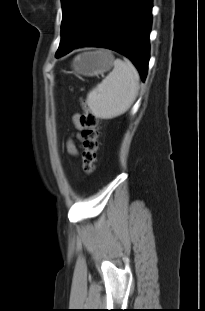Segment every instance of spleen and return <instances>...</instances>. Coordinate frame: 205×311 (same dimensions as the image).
I'll return each instance as SVG.
<instances>
[{"mask_svg": "<svg viewBox=\"0 0 205 311\" xmlns=\"http://www.w3.org/2000/svg\"><path fill=\"white\" fill-rule=\"evenodd\" d=\"M113 65V70L87 94L89 108L102 119L124 114L138 92L139 75L133 64L115 59Z\"/></svg>", "mask_w": 205, "mask_h": 311, "instance_id": "obj_1", "label": "spleen"}]
</instances>
